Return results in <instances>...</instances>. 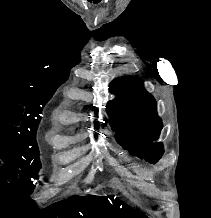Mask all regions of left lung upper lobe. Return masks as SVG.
<instances>
[{
    "label": "left lung upper lobe",
    "instance_id": "5c2ea615",
    "mask_svg": "<svg viewBox=\"0 0 211 218\" xmlns=\"http://www.w3.org/2000/svg\"><path fill=\"white\" fill-rule=\"evenodd\" d=\"M141 85L142 81L134 77L113 80L109 88L117 97L108 102L107 113L117 142L132 154L156 163L163 154V145L151 141L158 138L162 121L157 116L156 101Z\"/></svg>",
    "mask_w": 211,
    "mask_h": 218
}]
</instances>
